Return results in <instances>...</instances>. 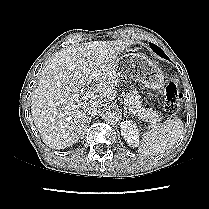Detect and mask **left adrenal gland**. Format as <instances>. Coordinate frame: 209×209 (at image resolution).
Segmentation results:
<instances>
[{"label":"left adrenal gland","instance_id":"left-adrenal-gland-1","mask_svg":"<svg viewBox=\"0 0 209 209\" xmlns=\"http://www.w3.org/2000/svg\"><path fill=\"white\" fill-rule=\"evenodd\" d=\"M129 112L127 111L126 108H124V117H126V115L128 114Z\"/></svg>","mask_w":209,"mask_h":209}]
</instances>
